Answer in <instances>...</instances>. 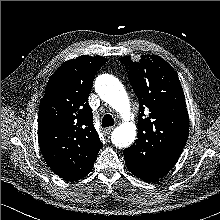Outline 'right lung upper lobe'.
Wrapping results in <instances>:
<instances>
[{
	"label": "right lung upper lobe",
	"mask_w": 220,
	"mask_h": 220,
	"mask_svg": "<svg viewBox=\"0 0 220 220\" xmlns=\"http://www.w3.org/2000/svg\"><path fill=\"white\" fill-rule=\"evenodd\" d=\"M106 62L87 55L68 60L46 86L38 114L39 146L52 171L66 181L85 177L102 147L87 101L95 74Z\"/></svg>",
	"instance_id": "cb5924a9"
}]
</instances>
